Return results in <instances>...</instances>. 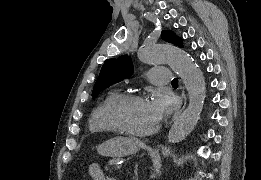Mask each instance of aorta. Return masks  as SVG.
I'll list each match as a JSON object with an SVG mask.
<instances>
[{
    "mask_svg": "<svg viewBox=\"0 0 261 180\" xmlns=\"http://www.w3.org/2000/svg\"><path fill=\"white\" fill-rule=\"evenodd\" d=\"M138 58L148 64L167 63L183 80L189 104L168 134L169 143H178L192 132L200 118L206 94L203 73L188 53L172 45L143 46L138 51Z\"/></svg>",
    "mask_w": 261,
    "mask_h": 180,
    "instance_id": "1",
    "label": "aorta"
}]
</instances>
